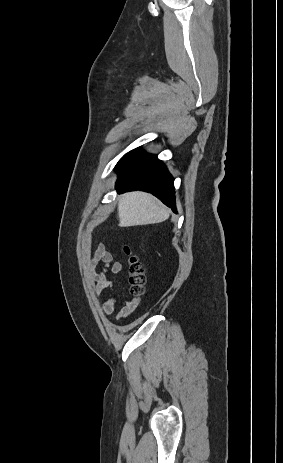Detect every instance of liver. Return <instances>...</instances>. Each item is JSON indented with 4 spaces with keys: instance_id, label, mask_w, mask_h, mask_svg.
Returning <instances> with one entry per match:
<instances>
[{
    "instance_id": "liver-1",
    "label": "liver",
    "mask_w": 283,
    "mask_h": 463,
    "mask_svg": "<svg viewBox=\"0 0 283 463\" xmlns=\"http://www.w3.org/2000/svg\"><path fill=\"white\" fill-rule=\"evenodd\" d=\"M169 216L170 211L148 193L131 192L123 195L118 203L121 227L161 223Z\"/></svg>"
}]
</instances>
